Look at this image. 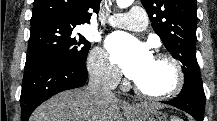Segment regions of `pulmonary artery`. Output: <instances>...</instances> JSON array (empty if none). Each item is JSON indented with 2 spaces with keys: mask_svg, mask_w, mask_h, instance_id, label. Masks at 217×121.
<instances>
[{
  "mask_svg": "<svg viewBox=\"0 0 217 121\" xmlns=\"http://www.w3.org/2000/svg\"><path fill=\"white\" fill-rule=\"evenodd\" d=\"M107 22L119 28L142 31L148 25L147 15L143 8L135 6L128 13H116L108 17Z\"/></svg>",
  "mask_w": 217,
  "mask_h": 121,
  "instance_id": "e3ab8cb5",
  "label": "pulmonary artery"
}]
</instances>
